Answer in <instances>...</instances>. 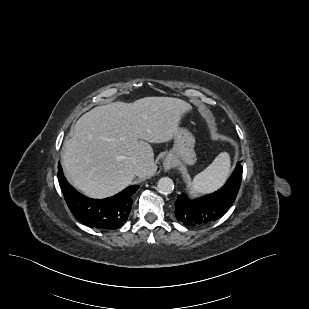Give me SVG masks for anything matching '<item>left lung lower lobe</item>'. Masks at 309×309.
Wrapping results in <instances>:
<instances>
[{"label":"left lung lower lobe","mask_w":309,"mask_h":309,"mask_svg":"<svg viewBox=\"0 0 309 309\" xmlns=\"http://www.w3.org/2000/svg\"><path fill=\"white\" fill-rule=\"evenodd\" d=\"M242 180V166L238 162L226 184L218 191L191 200L185 194L177 196L175 216L186 226H204L221 218L232 206Z\"/></svg>","instance_id":"obj_1"}]
</instances>
